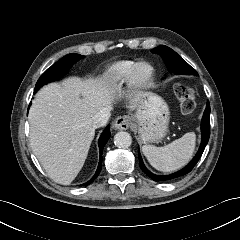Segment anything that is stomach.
I'll list each match as a JSON object with an SVG mask.
<instances>
[{
  "mask_svg": "<svg viewBox=\"0 0 240 240\" xmlns=\"http://www.w3.org/2000/svg\"><path fill=\"white\" fill-rule=\"evenodd\" d=\"M133 121L143 143L159 142L168 131L169 108L161 97L147 94L140 100Z\"/></svg>",
  "mask_w": 240,
  "mask_h": 240,
  "instance_id": "obj_1",
  "label": "stomach"
}]
</instances>
